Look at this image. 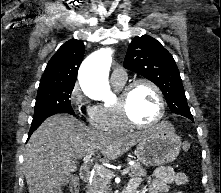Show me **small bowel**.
<instances>
[{
    "instance_id": "small-bowel-1",
    "label": "small bowel",
    "mask_w": 221,
    "mask_h": 193,
    "mask_svg": "<svg viewBox=\"0 0 221 193\" xmlns=\"http://www.w3.org/2000/svg\"><path fill=\"white\" fill-rule=\"evenodd\" d=\"M188 176L183 172H175L171 167L159 166L153 172V179L148 185V193H167L171 186L177 185L184 187L188 184ZM143 180L141 177H134L131 179L129 189L138 193L142 187ZM174 193H183L177 191Z\"/></svg>"
}]
</instances>
